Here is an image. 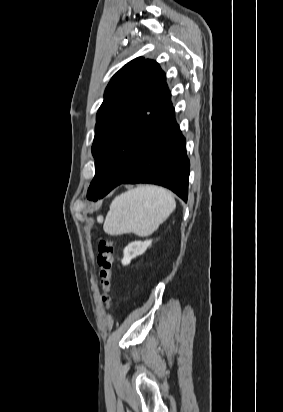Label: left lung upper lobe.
Segmentation results:
<instances>
[{
	"instance_id": "left-lung-upper-lobe-1",
	"label": "left lung upper lobe",
	"mask_w": 283,
	"mask_h": 412,
	"mask_svg": "<svg viewBox=\"0 0 283 412\" xmlns=\"http://www.w3.org/2000/svg\"><path fill=\"white\" fill-rule=\"evenodd\" d=\"M173 108L164 72L155 61L139 57L122 67L109 82L98 110L92 154L104 150L124 155L135 166L146 151L158 123ZM100 184L92 180L87 198Z\"/></svg>"
}]
</instances>
